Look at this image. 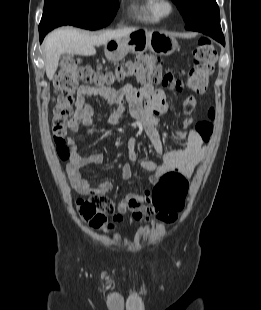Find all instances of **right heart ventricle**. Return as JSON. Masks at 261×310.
Here are the masks:
<instances>
[{
	"mask_svg": "<svg viewBox=\"0 0 261 310\" xmlns=\"http://www.w3.org/2000/svg\"><path fill=\"white\" fill-rule=\"evenodd\" d=\"M133 10L138 20L145 23H157L163 15L159 11L158 0H140L134 3Z\"/></svg>",
	"mask_w": 261,
	"mask_h": 310,
	"instance_id": "obj_1",
	"label": "right heart ventricle"
}]
</instances>
